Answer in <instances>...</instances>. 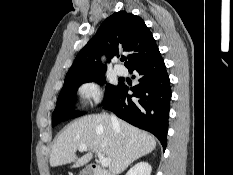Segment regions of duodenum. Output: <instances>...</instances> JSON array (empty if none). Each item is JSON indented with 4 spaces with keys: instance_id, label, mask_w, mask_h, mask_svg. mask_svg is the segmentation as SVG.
<instances>
[{
    "instance_id": "1",
    "label": "duodenum",
    "mask_w": 233,
    "mask_h": 175,
    "mask_svg": "<svg viewBox=\"0 0 233 175\" xmlns=\"http://www.w3.org/2000/svg\"><path fill=\"white\" fill-rule=\"evenodd\" d=\"M87 173L88 175H110L104 168L96 164L90 165L87 170Z\"/></svg>"
}]
</instances>
